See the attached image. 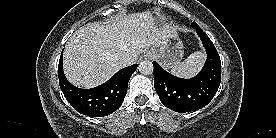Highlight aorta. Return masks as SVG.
I'll use <instances>...</instances> for the list:
<instances>
[{
  "instance_id": "762f6f07",
  "label": "aorta",
  "mask_w": 276,
  "mask_h": 138,
  "mask_svg": "<svg viewBox=\"0 0 276 138\" xmlns=\"http://www.w3.org/2000/svg\"><path fill=\"white\" fill-rule=\"evenodd\" d=\"M138 70L143 75H149L153 73L154 67L151 61L144 60L140 62Z\"/></svg>"
}]
</instances>
